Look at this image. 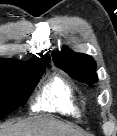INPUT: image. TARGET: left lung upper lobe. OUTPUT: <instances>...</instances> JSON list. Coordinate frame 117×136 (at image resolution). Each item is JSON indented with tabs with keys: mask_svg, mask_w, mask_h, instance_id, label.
I'll list each match as a JSON object with an SVG mask.
<instances>
[{
	"mask_svg": "<svg viewBox=\"0 0 117 136\" xmlns=\"http://www.w3.org/2000/svg\"><path fill=\"white\" fill-rule=\"evenodd\" d=\"M53 60L58 67L80 82L93 85L98 81L96 63L89 55L64 48L61 52H53Z\"/></svg>",
	"mask_w": 117,
	"mask_h": 136,
	"instance_id": "obj_1",
	"label": "left lung upper lobe"
}]
</instances>
